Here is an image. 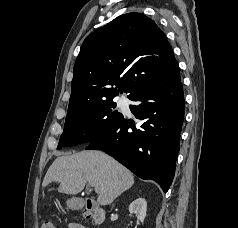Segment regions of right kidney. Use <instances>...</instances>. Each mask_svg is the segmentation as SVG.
<instances>
[{"mask_svg": "<svg viewBox=\"0 0 238 228\" xmlns=\"http://www.w3.org/2000/svg\"><path fill=\"white\" fill-rule=\"evenodd\" d=\"M147 202L144 198H138L129 205V212L135 214L143 223L146 217Z\"/></svg>", "mask_w": 238, "mask_h": 228, "instance_id": "right-kidney-1", "label": "right kidney"}]
</instances>
